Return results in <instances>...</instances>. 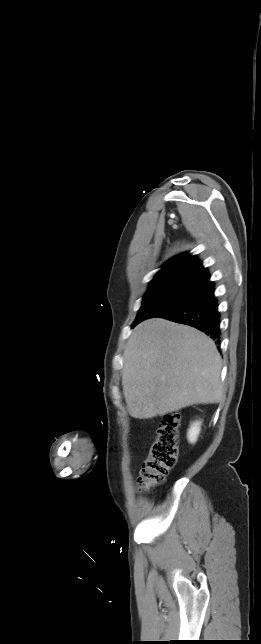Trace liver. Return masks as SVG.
<instances>
[{"label": "liver", "instance_id": "6515ba94", "mask_svg": "<svg viewBox=\"0 0 261 644\" xmlns=\"http://www.w3.org/2000/svg\"><path fill=\"white\" fill-rule=\"evenodd\" d=\"M130 416L148 419L223 398L221 357L212 339L162 318L138 324L123 353Z\"/></svg>", "mask_w": 261, "mask_h": 644}]
</instances>
